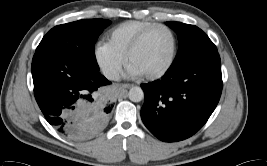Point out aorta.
Returning <instances> with one entry per match:
<instances>
[{"mask_svg":"<svg viewBox=\"0 0 267 166\" xmlns=\"http://www.w3.org/2000/svg\"><path fill=\"white\" fill-rule=\"evenodd\" d=\"M129 99L133 102H140L144 98V92L140 87H132L128 93Z\"/></svg>","mask_w":267,"mask_h":166,"instance_id":"obj_1","label":"aorta"}]
</instances>
